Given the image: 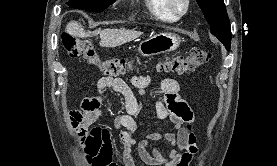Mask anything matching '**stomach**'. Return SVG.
I'll list each match as a JSON object with an SVG mask.
<instances>
[{
    "mask_svg": "<svg viewBox=\"0 0 277 166\" xmlns=\"http://www.w3.org/2000/svg\"><path fill=\"white\" fill-rule=\"evenodd\" d=\"M180 45V39L173 33H159L142 41L139 45V53L149 57L161 53L176 50Z\"/></svg>",
    "mask_w": 277,
    "mask_h": 166,
    "instance_id": "1",
    "label": "stomach"
}]
</instances>
